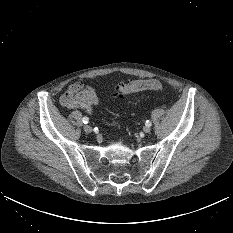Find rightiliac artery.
Here are the masks:
<instances>
[{"label":"right iliac artery","instance_id":"right-iliac-artery-1","mask_svg":"<svg viewBox=\"0 0 233 233\" xmlns=\"http://www.w3.org/2000/svg\"><path fill=\"white\" fill-rule=\"evenodd\" d=\"M88 122H89L88 117H86V116H85V117H83V123H84V124H87Z\"/></svg>","mask_w":233,"mask_h":233}]
</instances>
